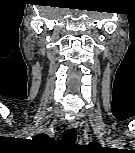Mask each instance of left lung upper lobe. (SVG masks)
Instances as JSON below:
<instances>
[{
  "instance_id": "1",
  "label": "left lung upper lobe",
  "mask_w": 135,
  "mask_h": 153,
  "mask_svg": "<svg viewBox=\"0 0 135 153\" xmlns=\"http://www.w3.org/2000/svg\"><path fill=\"white\" fill-rule=\"evenodd\" d=\"M91 145H96L97 147H101L98 143H91Z\"/></svg>"
}]
</instances>
